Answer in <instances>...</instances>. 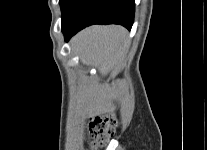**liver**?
<instances>
[{
    "instance_id": "6515ba94",
    "label": "liver",
    "mask_w": 207,
    "mask_h": 150,
    "mask_svg": "<svg viewBox=\"0 0 207 150\" xmlns=\"http://www.w3.org/2000/svg\"><path fill=\"white\" fill-rule=\"evenodd\" d=\"M127 30L121 26H91L79 32L72 39V46L80 55V61L85 65H94L102 76L122 58ZM72 105L78 116L93 117L115 107L103 86L96 81L82 80L72 93Z\"/></svg>"
}]
</instances>
